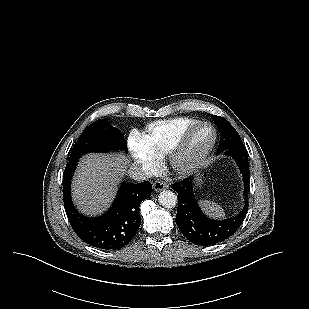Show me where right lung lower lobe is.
<instances>
[{
  "instance_id": "obj_1",
  "label": "right lung lower lobe",
  "mask_w": 309,
  "mask_h": 309,
  "mask_svg": "<svg viewBox=\"0 0 309 309\" xmlns=\"http://www.w3.org/2000/svg\"><path fill=\"white\" fill-rule=\"evenodd\" d=\"M77 162L78 159L69 161L63 176L64 207L73 230L81 240L96 248L121 249L138 231L141 222L139 207L151 196V183H122L107 213L95 218L85 217L76 210L70 196L71 178Z\"/></svg>"
}]
</instances>
